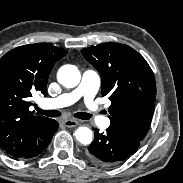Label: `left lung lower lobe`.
Returning <instances> with one entry per match:
<instances>
[{
  "mask_svg": "<svg viewBox=\"0 0 183 183\" xmlns=\"http://www.w3.org/2000/svg\"><path fill=\"white\" fill-rule=\"evenodd\" d=\"M95 137L86 151L87 157L100 165H114L130 157L140 140L118 129L109 127L106 133L94 129Z\"/></svg>",
  "mask_w": 183,
  "mask_h": 183,
  "instance_id": "0a47b994",
  "label": "left lung lower lobe"
}]
</instances>
